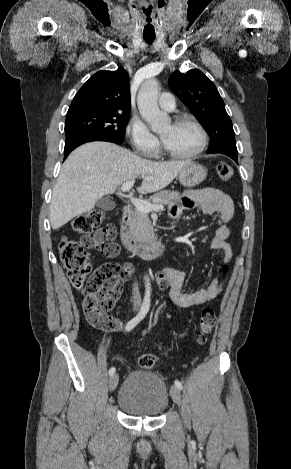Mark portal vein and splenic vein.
I'll return each instance as SVG.
<instances>
[{
	"mask_svg": "<svg viewBox=\"0 0 291 469\" xmlns=\"http://www.w3.org/2000/svg\"><path fill=\"white\" fill-rule=\"evenodd\" d=\"M133 185H134V180L123 183L121 186L122 192L129 191L133 187ZM129 198H130L131 203L142 212L148 213L151 211L164 210V206L162 204H151L147 201L137 199L134 197H129Z\"/></svg>",
	"mask_w": 291,
	"mask_h": 469,
	"instance_id": "obj_1",
	"label": "portal vein and splenic vein"
}]
</instances>
